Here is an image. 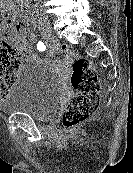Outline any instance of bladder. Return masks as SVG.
I'll return each mask as SVG.
<instances>
[{"label": "bladder", "instance_id": "obj_1", "mask_svg": "<svg viewBox=\"0 0 133 173\" xmlns=\"http://www.w3.org/2000/svg\"><path fill=\"white\" fill-rule=\"evenodd\" d=\"M64 94L60 74L49 64L30 61L17 73L9 92L0 102L6 113H25L46 121L57 112Z\"/></svg>", "mask_w": 133, "mask_h": 173}]
</instances>
